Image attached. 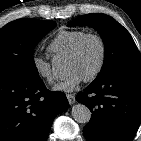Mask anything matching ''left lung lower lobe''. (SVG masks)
<instances>
[{
	"label": "left lung lower lobe",
	"mask_w": 141,
	"mask_h": 141,
	"mask_svg": "<svg viewBox=\"0 0 141 141\" xmlns=\"http://www.w3.org/2000/svg\"><path fill=\"white\" fill-rule=\"evenodd\" d=\"M76 98L92 112L83 129L88 141L133 140L141 123L140 73H123L92 82Z\"/></svg>",
	"instance_id": "0a47b994"
}]
</instances>
